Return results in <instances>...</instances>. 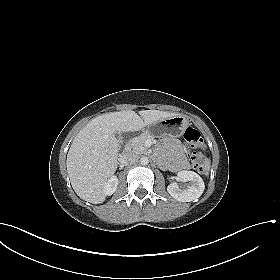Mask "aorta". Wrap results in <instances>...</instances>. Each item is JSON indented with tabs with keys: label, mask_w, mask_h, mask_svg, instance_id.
Returning <instances> with one entry per match:
<instances>
[{
	"label": "aorta",
	"mask_w": 280,
	"mask_h": 280,
	"mask_svg": "<svg viewBox=\"0 0 280 280\" xmlns=\"http://www.w3.org/2000/svg\"><path fill=\"white\" fill-rule=\"evenodd\" d=\"M140 162L142 165H147L149 163V159L146 156H142Z\"/></svg>",
	"instance_id": "762f6f07"
}]
</instances>
